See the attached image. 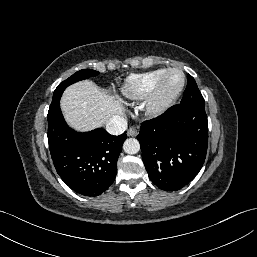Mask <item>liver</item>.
Segmentation results:
<instances>
[{"instance_id":"liver-1","label":"liver","mask_w":257,"mask_h":257,"mask_svg":"<svg viewBox=\"0 0 257 257\" xmlns=\"http://www.w3.org/2000/svg\"><path fill=\"white\" fill-rule=\"evenodd\" d=\"M121 102L92 81L85 80L69 86L60 105L67 123L75 130L85 132L102 126L113 115H123Z\"/></svg>"}]
</instances>
